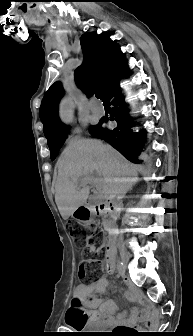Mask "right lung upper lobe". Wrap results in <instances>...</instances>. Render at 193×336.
Masks as SVG:
<instances>
[{
  "instance_id": "right-lung-upper-lobe-1",
  "label": "right lung upper lobe",
  "mask_w": 193,
  "mask_h": 336,
  "mask_svg": "<svg viewBox=\"0 0 193 336\" xmlns=\"http://www.w3.org/2000/svg\"><path fill=\"white\" fill-rule=\"evenodd\" d=\"M80 43L84 60L74 72L75 82L88 96L97 90L105 96L126 64L124 55L105 34L85 33ZM62 96V86L60 82H55L46 92L40 106V119L48 142L68 131L58 118V104Z\"/></svg>"
}]
</instances>
